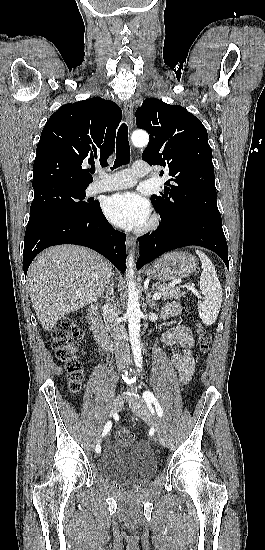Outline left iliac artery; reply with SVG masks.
<instances>
[{"label": "left iliac artery", "instance_id": "left-iliac-artery-1", "mask_svg": "<svg viewBox=\"0 0 265 550\" xmlns=\"http://www.w3.org/2000/svg\"><path fill=\"white\" fill-rule=\"evenodd\" d=\"M143 397H144V400L146 401V404L148 406V408L151 410V403H153L155 405V408H156V412L158 414L159 417H162L163 415V410L160 406V404L158 403L157 399L155 398L154 394L150 391H145L143 393Z\"/></svg>", "mask_w": 265, "mask_h": 550}]
</instances>
